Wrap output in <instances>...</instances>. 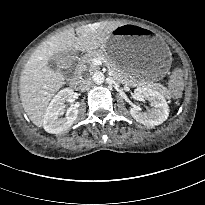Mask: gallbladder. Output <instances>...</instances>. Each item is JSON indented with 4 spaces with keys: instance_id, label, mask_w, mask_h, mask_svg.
I'll use <instances>...</instances> for the list:
<instances>
[{
    "instance_id": "obj_1",
    "label": "gallbladder",
    "mask_w": 205,
    "mask_h": 205,
    "mask_svg": "<svg viewBox=\"0 0 205 205\" xmlns=\"http://www.w3.org/2000/svg\"><path fill=\"white\" fill-rule=\"evenodd\" d=\"M68 54L66 52L57 53L48 61V66L54 71H62L65 76L70 75V68L67 65Z\"/></svg>"
}]
</instances>
